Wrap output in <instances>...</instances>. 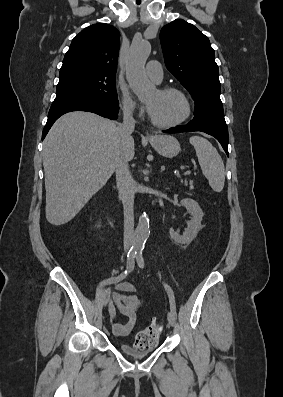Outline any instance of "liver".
Instances as JSON below:
<instances>
[{"instance_id": "1", "label": "liver", "mask_w": 283, "mask_h": 397, "mask_svg": "<svg viewBox=\"0 0 283 397\" xmlns=\"http://www.w3.org/2000/svg\"><path fill=\"white\" fill-rule=\"evenodd\" d=\"M122 153L133 159L134 139L123 140L117 123L84 111L60 117L43 147L47 221L72 220L112 176Z\"/></svg>"}]
</instances>
